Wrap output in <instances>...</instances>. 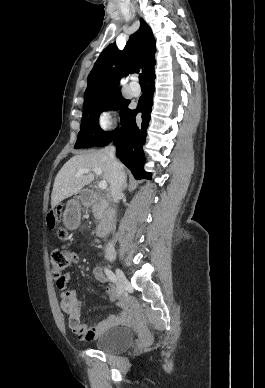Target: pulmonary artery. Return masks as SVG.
Segmentation results:
<instances>
[{"mask_svg": "<svg viewBox=\"0 0 265 388\" xmlns=\"http://www.w3.org/2000/svg\"><path fill=\"white\" fill-rule=\"evenodd\" d=\"M130 80L132 82H137L139 80V77L137 75H132L130 77ZM128 87H129V90H133L132 95L137 96L139 94L138 90H140V87H141L140 83H129Z\"/></svg>", "mask_w": 265, "mask_h": 388, "instance_id": "e3ab8cb5", "label": "pulmonary artery"}]
</instances>
